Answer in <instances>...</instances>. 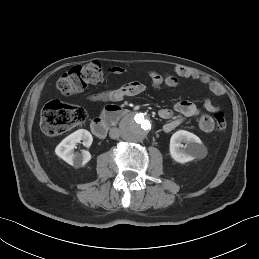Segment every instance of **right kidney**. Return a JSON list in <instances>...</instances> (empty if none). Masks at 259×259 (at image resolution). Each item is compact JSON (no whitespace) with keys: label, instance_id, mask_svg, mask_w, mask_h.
<instances>
[{"label":"right kidney","instance_id":"ca27d5eb","mask_svg":"<svg viewBox=\"0 0 259 259\" xmlns=\"http://www.w3.org/2000/svg\"><path fill=\"white\" fill-rule=\"evenodd\" d=\"M81 141H83L84 146L90 147L93 141L91 133L85 129L73 132L57 145L56 155L72 166L81 167L85 165L90 161L91 154L86 150H83L82 153L73 152L76 144Z\"/></svg>","mask_w":259,"mask_h":259}]
</instances>
